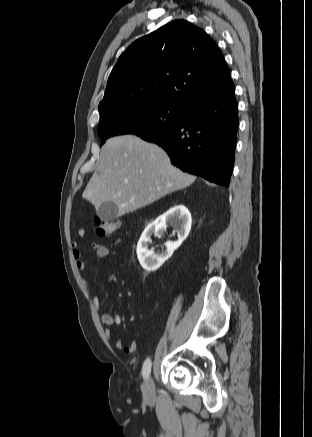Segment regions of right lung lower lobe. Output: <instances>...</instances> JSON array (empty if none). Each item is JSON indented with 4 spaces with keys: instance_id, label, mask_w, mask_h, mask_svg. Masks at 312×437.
<instances>
[{
    "instance_id": "obj_1",
    "label": "right lung lower lobe",
    "mask_w": 312,
    "mask_h": 437,
    "mask_svg": "<svg viewBox=\"0 0 312 437\" xmlns=\"http://www.w3.org/2000/svg\"><path fill=\"white\" fill-rule=\"evenodd\" d=\"M238 125L235 86L230 80L184 108L178 124L143 139L161 146L181 170L228 187Z\"/></svg>"
}]
</instances>
